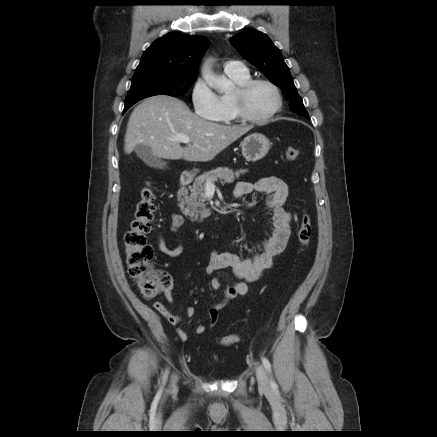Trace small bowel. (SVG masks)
<instances>
[{"mask_svg": "<svg viewBox=\"0 0 437 437\" xmlns=\"http://www.w3.org/2000/svg\"><path fill=\"white\" fill-rule=\"evenodd\" d=\"M252 193L265 196V206L273 213V234L270 238L262 241L261 251L250 257H241L238 254L230 252L215 251L211 254L206 267L208 274H213L218 271H230L237 279V281L232 284H224L219 277L214 276L212 278V288L214 290H222L224 297L221 301L212 304L207 312V317L210 319L211 325L216 324L220 310L231 300L238 296L245 295L248 292L249 284L258 281L263 274L272 267L275 258L286 248L291 233L292 214L286 208L288 198L287 184L282 179L271 176L261 178L255 183L241 181L237 183L234 191V195L238 198L245 197ZM183 223V216L179 213H174L171 216V231L177 233ZM158 247L162 253L171 257L178 256L183 250L180 244L175 248H169L161 232L158 233ZM172 289V278L168 274H164L163 292L167 302L170 304L174 302ZM154 308L173 325L183 320L182 316L171 314L165 305L160 302H156ZM195 313L196 310L194 307H188L184 317L190 319L195 316ZM204 331V324H199L196 327L197 334H201ZM177 334L182 341L188 339V334L182 329H178Z\"/></svg>", "mask_w": 437, "mask_h": 437, "instance_id": "small-bowel-1", "label": "small bowel"}]
</instances>
